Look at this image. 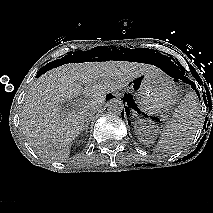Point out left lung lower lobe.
I'll return each mask as SVG.
<instances>
[{
	"label": "left lung lower lobe",
	"instance_id": "1",
	"mask_svg": "<svg viewBox=\"0 0 213 213\" xmlns=\"http://www.w3.org/2000/svg\"><path fill=\"white\" fill-rule=\"evenodd\" d=\"M192 86V85H191ZM192 88L196 91V93H197V90H196V87H195V85L193 84V86H192ZM199 94V93H198ZM197 94V95H198ZM127 95H125L123 98H122V100H123V103H125L126 101H127ZM128 103V102H127ZM122 114V113H121Z\"/></svg>",
	"mask_w": 213,
	"mask_h": 213
}]
</instances>
